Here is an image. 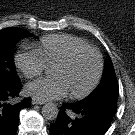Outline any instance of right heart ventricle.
<instances>
[{
    "label": "right heart ventricle",
    "mask_w": 135,
    "mask_h": 135,
    "mask_svg": "<svg viewBox=\"0 0 135 135\" xmlns=\"http://www.w3.org/2000/svg\"><path fill=\"white\" fill-rule=\"evenodd\" d=\"M86 46L89 44L82 38L68 34H51L42 37L35 50L40 54L45 65L52 67L71 50Z\"/></svg>",
    "instance_id": "e07e8e85"
}]
</instances>
